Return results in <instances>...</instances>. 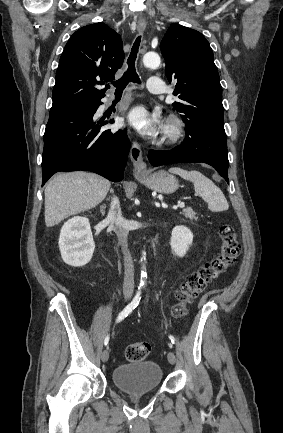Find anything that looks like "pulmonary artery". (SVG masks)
Returning <instances> with one entry per match:
<instances>
[{
  "instance_id": "obj_1",
  "label": "pulmonary artery",
  "mask_w": 283,
  "mask_h": 433,
  "mask_svg": "<svg viewBox=\"0 0 283 433\" xmlns=\"http://www.w3.org/2000/svg\"><path fill=\"white\" fill-rule=\"evenodd\" d=\"M147 91L148 92H162L164 80L162 78H148L146 80Z\"/></svg>"
}]
</instances>
